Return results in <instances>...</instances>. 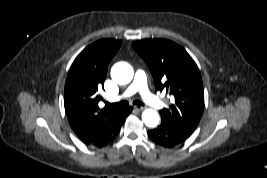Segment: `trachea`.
<instances>
[{"label":"trachea","instance_id":"1","mask_svg":"<svg viewBox=\"0 0 267 178\" xmlns=\"http://www.w3.org/2000/svg\"><path fill=\"white\" fill-rule=\"evenodd\" d=\"M128 104V101H121V102H117V103H107L108 106L113 107V108H118L120 106H125ZM134 105H143L141 101L139 100H135L133 101Z\"/></svg>","mask_w":267,"mask_h":178}]
</instances>
